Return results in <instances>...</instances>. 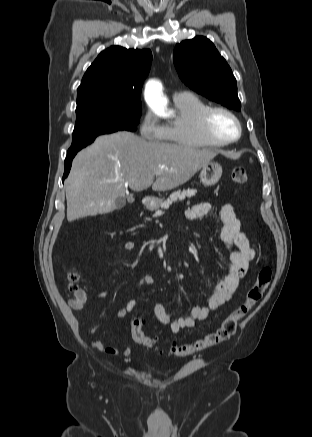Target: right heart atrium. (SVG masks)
Here are the masks:
<instances>
[{
  "label": "right heart atrium",
  "mask_w": 312,
  "mask_h": 437,
  "mask_svg": "<svg viewBox=\"0 0 312 437\" xmlns=\"http://www.w3.org/2000/svg\"><path fill=\"white\" fill-rule=\"evenodd\" d=\"M139 131L141 137L149 141H162L165 136L164 126L155 114L150 111L143 115Z\"/></svg>",
  "instance_id": "right-heart-atrium-1"
}]
</instances>
